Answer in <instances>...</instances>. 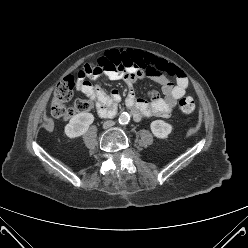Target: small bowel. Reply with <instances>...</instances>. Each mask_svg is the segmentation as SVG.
I'll return each instance as SVG.
<instances>
[{"instance_id": "c3829d8e", "label": "small bowel", "mask_w": 248, "mask_h": 248, "mask_svg": "<svg viewBox=\"0 0 248 248\" xmlns=\"http://www.w3.org/2000/svg\"><path fill=\"white\" fill-rule=\"evenodd\" d=\"M112 52L120 53L125 60L131 63V67L127 71H106V76L113 81L124 80L129 85L130 91L126 98V108L131 112L133 118L140 120L142 117L150 116L169 117L178 100L186 93L188 79L184 72L177 66L148 52L133 50ZM89 75L87 67L81 69L76 86L77 91L94 101L96 112L100 117H112L121 99L118 90L113 89L108 94L101 86L93 85L87 78ZM168 76L174 77L176 82L173 83ZM145 77L161 85L164 97H159L155 90L148 92L150 101L135 96V84Z\"/></svg>"}]
</instances>
